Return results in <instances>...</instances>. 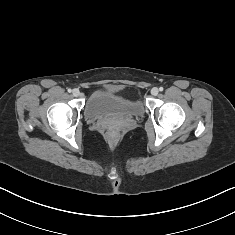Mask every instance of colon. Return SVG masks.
I'll return each mask as SVG.
<instances>
[{"label": "colon", "instance_id": "1", "mask_svg": "<svg viewBox=\"0 0 235 235\" xmlns=\"http://www.w3.org/2000/svg\"><path fill=\"white\" fill-rule=\"evenodd\" d=\"M107 129L110 131V133H112V134L114 133V129L111 128L110 126H108Z\"/></svg>", "mask_w": 235, "mask_h": 235}]
</instances>
